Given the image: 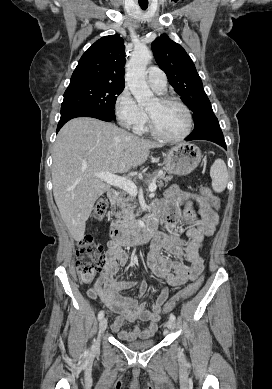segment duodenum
Returning <instances> with one entry per match:
<instances>
[{"instance_id":"obj_1","label":"duodenum","mask_w":272,"mask_h":389,"mask_svg":"<svg viewBox=\"0 0 272 389\" xmlns=\"http://www.w3.org/2000/svg\"><path fill=\"white\" fill-rule=\"evenodd\" d=\"M118 192L114 189L108 191V198L112 202L118 199ZM159 220L157 212L151 210L145 223L132 222L128 227L114 225L111 229V240L120 246H134L147 242L154 237L155 228Z\"/></svg>"}]
</instances>
